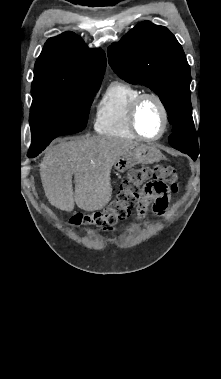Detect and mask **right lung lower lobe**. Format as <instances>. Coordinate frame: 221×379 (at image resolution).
I'll return each instance as SVG.
<instances>
[{"mask_svg":"<svg viewBox=\"0 0 221 379\" xmlns=\"http://www.w3.org/2000/svg\"><path fill=\"white\" fill-rule=\"evenodd\" d=\"M43 149H45V148L41 147V148H38V149H33L32 147H30L27 156L30 157V158H33V157L37 156Z\"/></svg>","mask_w":221,"mask_h":379,"instance_id":"right-lung-lower-lobe-1","label":"right lung lower lobe"}]
</instances>
